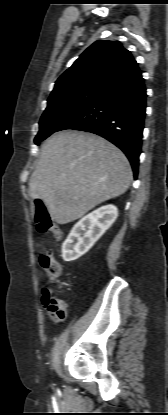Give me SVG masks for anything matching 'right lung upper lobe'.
<instances>
[{
	"label": "right lung upper lobe",
	"instance_id": "1",
	"mask_svg": "<svg viewBox=\"0 0 168 415\" xmlns=\"http://www.w3.org/2000/svg\"><path fill=\"white\" fill-rule=\"evenodd\" d=\"M137 65L119 41L98 40L58 78L48 100L79 90L103 91Z\"/></svg>",
	"mask_w": 168,
	"mask_h": 415
}]
</instances>
